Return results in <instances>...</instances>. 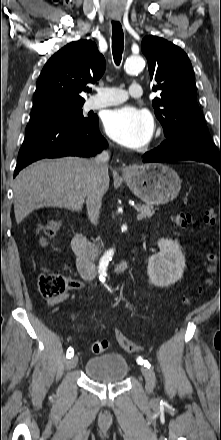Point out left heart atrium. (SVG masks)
Instances as JSON below:
<instances>
[{
    "instance_id": "left-heart-atrium-1",
    "label": "left heart atrium",
    "mask_w": 221,
    "mask_h": 440,
    "mask_svg": "<svg viewBox=\"0 0 221 440\" xmlns=\"http://www.w3.org/2000/svg\"><path fill=\"white\" fill-rule=\"evenodd\" d=\"M107 135L129 148L145 145L153 133V119L142 109L125 106L110 111L104 121Z\"/></svg>"
}]
</instances>
